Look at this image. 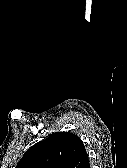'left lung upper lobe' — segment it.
Segmentation results:
<instances>
[{
	"label": "left lung upper lobe",
	"instance_id": "obj_1",
	"mask_svg": "<svg viewBox=\"0 0 127 168\" xmlns=\"http://www.w3.org/2000/svg\"><path fill=\"white\" fill-rule=\"evenodd\" d=\"M87 153L82 140L70 132H55L28 149L16 168H82Z\"/></svg>",
	"mask_w": 127,
	"mask_h": 168
}]
</instances>
